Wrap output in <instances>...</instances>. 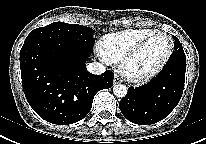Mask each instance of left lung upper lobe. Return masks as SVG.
<instances>
[{"mask_svg": "<svg viewBox=\"0 0 206 144\" xmlns=\"http://www.w3.org/2000/svg\"><path fill=\"white\" fill-rule=\"evenodd\" d=\"M175 43H174V50L175 49H179L180 47H182L181 43L179 42L178 38L173 36Z\"/></svg>", "mask_w": 206, "mask_h": 144, "instance_id": "obj_1", "label": "left lung upper lobe"}]
</instances>
